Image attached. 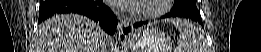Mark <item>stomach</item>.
<instances>
[{"mask_svg": "<svg viewBox=\"0 0 261 52\" xmlns=\"http://www.w3.org/2000/svg\"><path fill=\"white\" fill-rule=\"evenodd\" d=\"M130 42L134 52H166L169 44L164 34L153 28L138 29Z\"/></svg>", "mask_w": 261, "mask_h": 52, "instance_id": "1", "label": "stomach"}]
</instances>
